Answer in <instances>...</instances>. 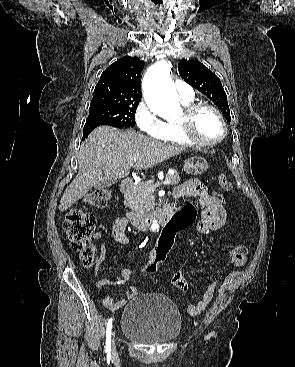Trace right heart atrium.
Returning <instances> with one entry per match:
<instances>
[{"instance_id": "d8ad5b80", "label": "right heart atrium", "mask_w": 295, "mask_h": 367, "mask_svg": "<svg viewBox=\"0 0 295 367\" xmlns=\"http://www.w3.org/2000/svg\"><path fill=\"white\" fill-rule=\"evenodd\" d=\"M135 122L139 129L156 139H162L167 131V123L145 103L140 102L135 111Z\"/></svg>"}]
</instances>
